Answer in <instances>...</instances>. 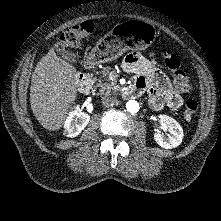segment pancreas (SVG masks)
Returning a JSON list of instances; mask_svg holds the SVG:
<instances>
[{
	"label": "pancreas",
	"mask_w": 221,
	"mask_h": 221,
	"mask_svg": "<svg viewBox=\"0 0 221 221\" xmlns=\"http://www.w3.org/2000/svg\"><path fill=\"white\" fill-rule=\"evenodd\" d=\"M110 69L109 68H103L102 72H101V77H105L108 75ZM95 81H98L96 83V87H99L100 88V93L103 94V93H106V94H109L111 93V91H114V92H117L121 89V87H119L118 85H116L115 82H110V83H107V82H102L100 80H97V79H94Z\"/></svg>",
	"instance_id": "1"
}]
</instances>
